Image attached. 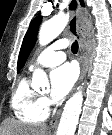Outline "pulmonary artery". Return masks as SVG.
I'll list each match as a JSON object with an SVG mask.
<instances>
[{
    "instance_id": "pulmonary-artery-1",
    "label": "pulmonary artery",
    "mask_w": 112,
    "mask_h": 135,
    "mask_svg": "<svg viewBox=\"0 0 112 135\" xmlns=\"http://www.w3.org/2000/svg\"><path fill=\"white\" fill-rule=\"evenodd\" d=\"M68 46L66 40H57L45 48L31 63L29 69L34 70L38 66L53 67L65 60L64 49Z\"/></svg>"
}]
</instances>
